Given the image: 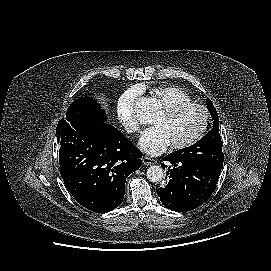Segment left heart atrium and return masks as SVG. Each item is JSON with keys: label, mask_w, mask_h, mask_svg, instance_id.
Masks as SVG:
<instances>
[{"label": "left heart atrium", "mask_w": 271, "mask_h": 271, "mask_svg": "<svg viewBox=\"0 0 271 271\" xmlns=\"http://www.w3.org/2000/svg\"><path fill=\"white\" fill-rule=\"evenodd\" d=\"M170 145L169 139L164 130L153 125L147 128L141 135L138 146L148 155L156 156L163 153Z\"/></svg>", "instance_id": "left-heart-atrium-1"}]
</instances>
